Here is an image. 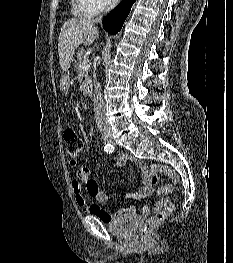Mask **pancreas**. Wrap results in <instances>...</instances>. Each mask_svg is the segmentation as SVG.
I'll return each instance as SVG.
<instances>
[{
	"label": "pancreas",
	"instance_id": "cf45deb5",
	"mask_svg": "<svg viewBox=\"0 0 233 263\" xmlns=\"http://www.w3.org/2000/svg\"><path fill=\"white\" fill-rule=\"evenodd\" d=\"M87 60V56L85 54V51L83 49L79 50L76 52V59H75V67L76 69H79L80 70V66L81 64ZM85 76L88 77V72H89V69L85 70ZM86 92H89L90 91V87H87Z\"/></svg>",
	"mask_w": 233,
	"mask_h": 263
}]
</instances>
